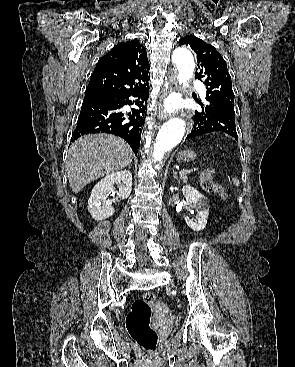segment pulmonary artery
<instances>
[{
	"label": "pulmonary artery",
	"instance_id": "obj_1",
	"mask_svg": "<svg viewBox=\"0 0 295 367\" xmlns=\"http://www.w3.org/2000/svg\"><path fill=\"white\" fill-rule=\"evenodd\" d=\"M193 85L195 88H197L201 92L203 96L205 95V88L202 83H200L199 81H194Z\"/></svg>",
	"mask_w": 295,
	"mask_h": 367
}]
</instances>
